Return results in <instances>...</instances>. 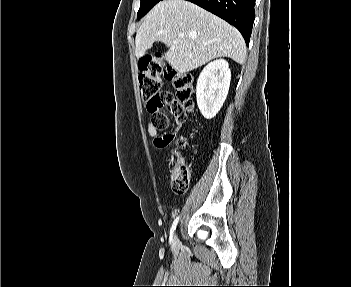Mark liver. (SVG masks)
Masks as SVG:
<instances>
[{
	"mask_svg": "<svg viewBox=\"0 0 351 287\" xmlns=\"http://www.w3.org/2000/svg\"><path fill=\"white\" fill-rule=\"evenodd\" d=\"M157 41L168 47L164 59L179 73L218 57L239 64L246 58L245 41L235 27L185 0H163L146 15L135 38L136 57H144Z\"/></svg>",
	"mask_w": 351,
	"mask_h": 287,
	"instance_id": "6515ba94",
	"label": "liver"
}]
</instances>
